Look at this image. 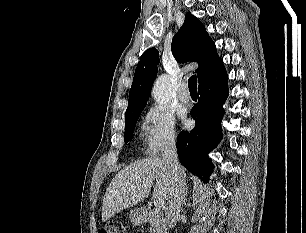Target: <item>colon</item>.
<instances>
[{
    "label": "colon",
    "instance_id": "1",
    "mask_svg": "<svg viewBox=\"0 0 306 233\" xmlns=\"http://www.w3.org/2000/svg\"><path fill=\"white\" fill-rule=\"evenodd\" d=\"M98 233H119V225L116 222H110L101 227Z\"/></svg>",
    "mask_w": 306,
    "mask_h": 233
}]
</instances>
